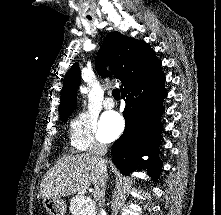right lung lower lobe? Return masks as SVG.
I'll return each instance as SVG.
<instances>
[{
  "label": "right lung lower lobe",
  "mask_w": 221,
  "mask_h": 215,
  "mask_svg": "<svg viewBox=\"0 0 221 215\" xmlns=\"http://www.w3.org/2000/svg\"><path fill=\"white\" fill-rule=\"evenodd\" d=\"M164 82L165 76L160 69L133 89L121 93L125 101L123 116L126 127L112 146V155L114 164L123 174L146 167L154 179L159 175L160 103L167 94ZM144 155L149 156L148 160L142 159Z\"/></svg>",
  "instance_id": "98d812e1"
}]
</instances>
